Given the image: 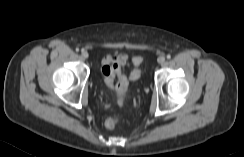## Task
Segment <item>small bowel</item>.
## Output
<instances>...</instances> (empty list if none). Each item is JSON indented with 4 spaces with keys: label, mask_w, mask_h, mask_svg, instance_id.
I'll return each mask as SVG.
<instances>
[{
    "label": "small bowel",
    "mask_w": 244,
    "mask_h": 157,
    "mask_svg": "<svg viewBox=\"0 0 244 157\" xmlns=\"http://www.w3.org/2000/svg\"><path fill=\"white\" fill-rule=\"evenodd\" d=\"M118 64L122 69L129 65V56L125 53L108 55L102 61V68L108 64Z\"/></svg>",
    "instance_id": "obj_1"
}]
</instances>
